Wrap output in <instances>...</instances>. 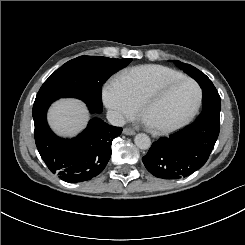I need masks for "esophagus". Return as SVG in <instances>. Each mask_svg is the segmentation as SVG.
<instances>
[{
	"label": "esophagus",
	"instance_id": "1",
	"mask_svg": "<svg viewBox=\"0 0 245 245\" xmlns=\"http://www.w3.org/2000/svg\"><path fill=\"white\" fill-rule=\"evenodd\" d=\"M123 134H125V135H135L136 132L134 130H132V129L124 128L123 129Z\"/></svg>",
	"mask_w": 245,
	"mask_h": 245
}]
</instances>
